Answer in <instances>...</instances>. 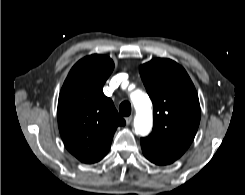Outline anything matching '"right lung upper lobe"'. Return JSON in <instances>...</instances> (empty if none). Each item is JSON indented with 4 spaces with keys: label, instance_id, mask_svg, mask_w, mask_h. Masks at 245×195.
<instances>
[{
    "label": "right lung upper lobe",
    "instance_id": "right-lung-upper-lobe-1",
    "mask_svg": "<svg viewBox=\"0 0 245 195\" xmlns=\"http://www.w3.org/2000/svg\"><path fill=\"white\" fill-rule=\"evenodd\" d=\"M113 69V61L106 56L84 57L72 67L60 92L61 137L67 150L84 163L100 161L117 127L126 123L102 90Z\"/></svg>",
    "mask_w": 245,
    "mask_h": 195
}]
</instances>
